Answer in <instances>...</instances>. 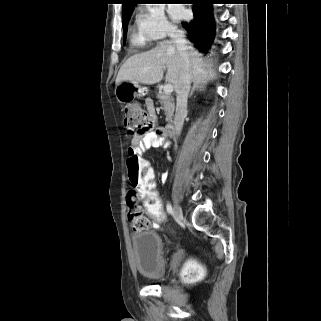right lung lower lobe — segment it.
Returning a JSON list of instances; mask_svg holds the SVG:
<instances>
[{"instance_id": "obj_1", "label": "right lung lower lobe", "mask_w": 321, "mask_h": 321, "mask_svg": "<svg viewBox=\"0 0 321 321\" xmlns=\"http://www.w3.org/2000/svg\"><path fill=\"white\" fill-rule=\"evenodd\" d=\"M194 18L183 22V28L188 32V39L196 47L206 53L214 39V22L210 4L215 0H191Z\"/></svg>"}]
</instances>
